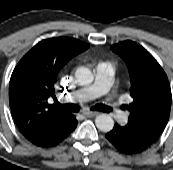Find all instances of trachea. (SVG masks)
<instances>
[{"label": "trachea", "mask_w": 173, "mask_h": 170, "mask_svg": "<svg viewBox=\"0 0 173 170\" xmlns=\"http://www.w3.org/2000/svg\"><path fill=\"white\" fill-rule=\"evenodd\" d=\"M57 106L59 108H62L64 110H66V111L74 112V113H77L80 110V107L77 104H64V105H61V104L58 103ZM91 110L103 111V112H107V113L111 111L110 107H108L104 104H97V105L93 106L91 108Z\"/></svg>", "instance_id": "1"}]
</instances>
